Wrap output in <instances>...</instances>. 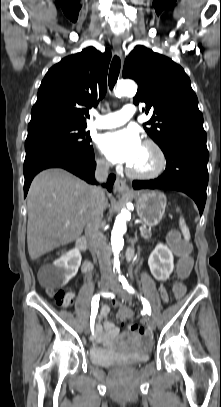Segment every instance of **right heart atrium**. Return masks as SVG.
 <instances>
[{
    "label": "right heart atrium",
    "mask_w": 221,
    "mask_h": 407,
    "mask_svg": "<svg viewBox=\"0 0 221 407\" xmlns=\"http://www.w3.org/2000/svg\"><path fill=\"white\" fill-rule=\"evenodd\" d=\"M97 165L101 169H107L109 166V163L105 159L99 157L97 159Z\"/></svg>",
    "instance_id": "1"
}]
</instances>
